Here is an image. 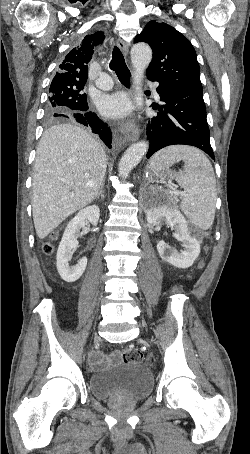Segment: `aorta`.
<instances>
[{"label": "aorta", "instance_id": "aorta-1", "mask_svg": "<svg viewBox=\"0 0 250 454\" xmlns=\"http://www.w3.org/2000/svg\"><path fill=\"white\" fill-rule=\"evenodd\" d=\"M152 59V50L145 43H137L131 49V61L133 66V86L135 90V104L142 107L144 103L142 78ZM149 148V143L140 141L131 145L121 157L118 165V173L122 178H127L131 170L142 160Z\"/></svg>", "mask_w": 250, "mask_h": 454}]
</instances>
